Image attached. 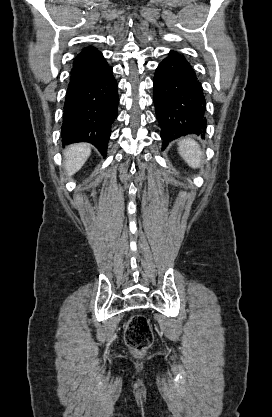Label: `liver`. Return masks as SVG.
Returning a JSON list of instances; mask_svg holds the SVG:
<instances>
[{
  "mask_svg": "<svg viewBox=\"0 0 272 417\" xmlns=\"http://www.w3.org/2000/svg\"><path fill=\"white\" fill-rule=\"evenodd\" d=\"M91 154L90 145L86 143L67 147L64 152V165L68 176L74 175L85 164Z\"/></svg>",
  "mask_w": 272,
  "mask_h": 417,
  "instance_id": "liver-1",
  "label": "liver"
}]
</instances>
